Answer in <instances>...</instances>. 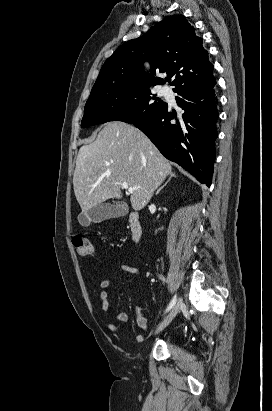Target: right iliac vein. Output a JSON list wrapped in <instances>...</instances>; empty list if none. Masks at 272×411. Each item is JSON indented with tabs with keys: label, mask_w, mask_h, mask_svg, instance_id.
Instances as JSON below:
<instances>
[{
	"label": "right iliac vein",
	"mask_w": 272,
	"mask_h": 411,
	"mask_svg": "<svg viewBox=\"0 0 272 411\" xmlns=\"http://www.w3.org/2000/svg\"><path fill=\"white\" fill-rule=\"evenodd\" d=\"M182 305V300L180 299L174 307L171 309L169 314L165 317V319L160 323V325L156 328L155 333L161 332L163 329H165L169 323L174 319V317L177 315L180 306Z\"/></svg>",
	"instance_id": "right-iliac-vein-1"
}]
</instances>
